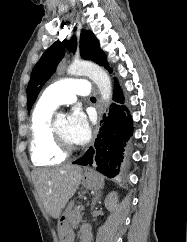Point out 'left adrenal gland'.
<instances>
[{"label":"left adrenal gland","mask_w":187,"mask_h":242,"mask_svg":"<svg viewBox=\"0 0 187 242\" xmlns=\"http://www.w3.org/2000/svg\"><path fill=\"white\" fill-rule=\"evenodd\" d=\"M101 195H102V191H98L95 193L92 200V208H94V206L96 205V202L100 199Z\"/></svg>","instance_id":"1"}]
</instances>
